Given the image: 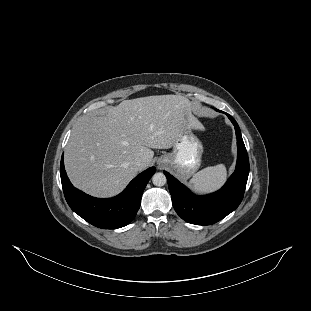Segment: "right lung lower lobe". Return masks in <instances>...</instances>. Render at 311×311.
Returning a JSON list of instances; mask_svg holds the SVG:
<instances>
[{
    "instance_id": "obj_1",
    "label": "right lung lower lobe",
    "mask_w": 311,
    "mask_h": 311,
    "mask_svg": "<svg viewBox=\"0 0 311 311\" xmlns=\"http://www.w3.org/2000/svg\"><path fill=\"white\" fill-rule=\"evenodd\" d=\"M155 171V167H150L136 176L119 195L109 199H98L71 184L64 168L63 155L60 164L62 188L68 205L84 220L103 229L120 228L134 219L141 204L143 191Z\"/></svg>"
}]
</instances>
